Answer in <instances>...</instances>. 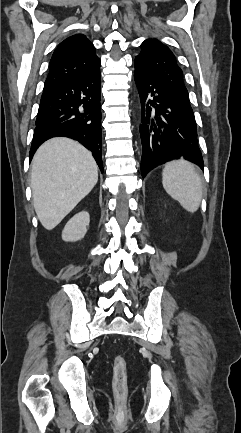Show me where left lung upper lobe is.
<instances>
[{"mask_svg": "<svg viewBox=\"0 0 241 433\" xmlns=\"http://www.w3.org/2000/svg\"><path fill=\"white\" fill-rule=\"evenodd\" d=\"M141 52L135 58V71L158 80L193 112L183 71L178 66L172 51L157 39H147L141 44Z\"/></svg>", "mask_w": 241, "mask_h": 433, "instance_id": "left-lung-upper-lobe-1", "label": "left lung upper lobe"}]
</instances>
